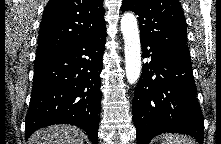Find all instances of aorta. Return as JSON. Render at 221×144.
Instances as JSON below:
<instances>
[{
    "instance_id": "1",
    "label": "aorta",
    "mask_w": 221,
    "mask_h": 144,
    "mask_svg": "<svg viewBox=\"0 0 221 144\" xmlns=\"http://www.w3.org/2000/svg\"><path fill=\"white\" fill-rule=\"evenodd\" d=\"M121 31L125 44L126 77L130 84H134L141 72V47L137 20L132 13L122 16Z\"/></svg>"
}]
</instances>
